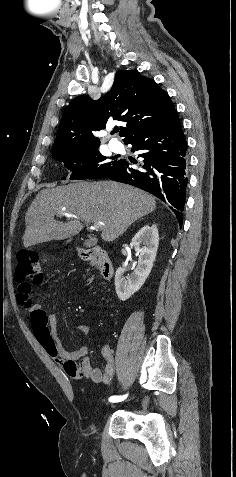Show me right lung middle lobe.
<instances>
[{"label": "right lung middle lobe", "mask_w": 236, "mask_h": 477, "mask_svg": "<svg viewBox=\"0 0 236 477\" xmlns=\"http://www.w3.org/2000/svg\"><path fill=\"white\" fill-rule=\"evenodd\" d=\"M99 145L87 146L72 152L52 153L57 160H62L71 170L70 179L84 180L104 178L120 160L107 161V157L98 151Z\"/></svg>", "instance_id": "right-lung-middle-lobe-1"}]
</instances>
